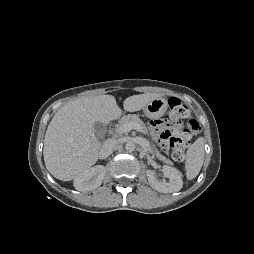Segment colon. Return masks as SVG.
Returning a JSON list of instances; mask_svg holds the SVG:
<instances>
[{"label": "colon", "mask_w": 254, "mask_h": 254, "mask_svg": "<svg viewBox=\"0 0 254 254\" xmlns=\"http://www.w3.org/2000/svg\"><path fill=\"white\" fill-rule=\"evenodd\" d=\"M170 118L167 120L170 125L160 132V142L168 145L172 150V157L176 161H182L190 141L195 137L200 127L196 120L189 119L182 124L180 119L189 116V107L178 98L171 97L168 100Z\"/></svg>", "instance_id": "1"}]
</instances>
